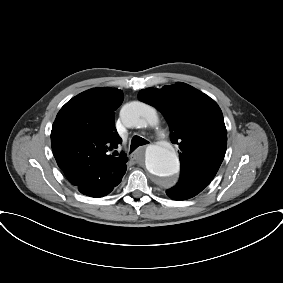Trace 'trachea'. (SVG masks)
<instances>
[{
  "instance_id": "obj_1",
  "label": "trachea",
  "mask_w": 283,
  "mask_h": 283,
  "mask_svg": "<svg viewBox=\"0 0 283 283\" xmlns=\"http://www.w3.org/2000/svg\"><path fill=\"white\" fill-rule=\"evenodd\" d=\"M149 142L142 137L134 136L131 140L130 153H132L139 146L148 144Z\"/></svg>"
}]
</instances>
